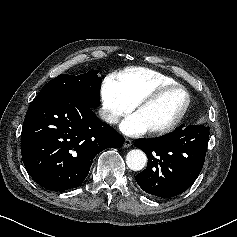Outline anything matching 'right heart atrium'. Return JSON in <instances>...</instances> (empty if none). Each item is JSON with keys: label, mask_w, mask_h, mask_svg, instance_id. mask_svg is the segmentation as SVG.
<instances>
[{"label": "right heart atrium", "mask_w": 237, "mask_h": 237, "mask_svg": "<svg viewBox=\"0 0 237 237\" xmlns=\"http://www.w3.org/2000/svg\"><path fill=\"white\" fill-rule=\"evenodd\" d=\"M102 117L108 124H116L119 119L128 114L134 105L120 90L114 76H107L101 84Z\"/></svg>", "instance_id": "1"}]
</instances>
